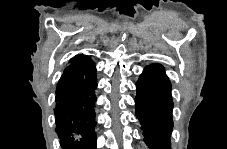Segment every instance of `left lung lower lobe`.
I'll use <instances>...</instances> for the list:
<instances>
[{"mask_svg": "<svg viewBox=\"0 0 227 149\" xmlns=\"http://www.w3.org/2000/svg\"><path fill=\"white\" fill-rule=\"evenodd\" d=\"M136 116L151 149H170L173 129L171 83L160 64L146 67L137 84Z\"/></svg>", "mask_w": 227, "mask_h": 149, "instance_id": "1", "label": "left lung lower lobe"}]
</instances>
